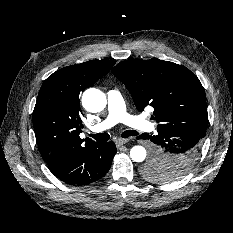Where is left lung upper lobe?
Segmentation results:
<instances>
[{"label": "left lung upper lobe", "instance_id": "obj_1", "mask_svg": "<svg viewBox=\"0 0 233 233\" xmlns=\"http://www.w3.org/2000/svg\"><path fill=\"white\" fill-rule=\"evenodd\" d=\"M112 73L124 83L140 112L146 106L153 107L151 119L157 122V130L184 128L198 131L202 138L205 136L208 127L205 92L189 69L157 58L130 59L118 63ZM163 169L170 168L151 159L143 173L159 182L178 179L159 173ZM189 170L179 173L183 177Z\"/></svg>", "mask_w": 233, "mask_h": 233}]
</instances>
